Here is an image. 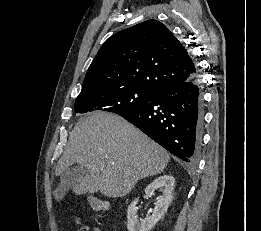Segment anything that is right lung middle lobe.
Wrapping results in <instances>:
<instances>
[{
	"label": "right lung middle lobe",
	"instance_id": "dd1d6c3e",
	"mask_svg": "<svg viewBox=\"0 0 261 231\" xmlns=\"http://www.w3.org/2000/svg\"><path fill=\"white\" fill-rule=\"evenodd\" d=\"M155 95L151 91L138 87L97 91L79 95L74 109L77 113L102 110L121 115L144 106Z\"/></svg>",
	"mask_w": 261,
	"mask_h": 231
}]
</instances>
